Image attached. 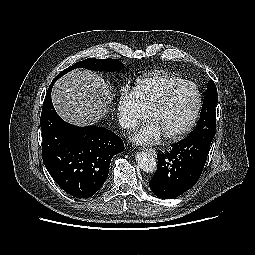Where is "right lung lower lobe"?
Listing matches in <instances>:
<instances>
[{"instance_id": "right-lung-lower-lobe-1", "label": "right lung lower lobe", "mask_w": 255, "mask_h": 255, "mask_svg": "<svg viewBox=\"0 0 255 255\" xmlns=\"http://www.w3.org/2000/svg\"><path fill=\"white\" fill-rule=\"evenodd\" d=\"M51 83L41 113L42 158L54 181L76 198L96 193L108 176L114 155L123 152L122 139L100 126L78 127L56 113Z\"/></svg>"}]
</instances>
